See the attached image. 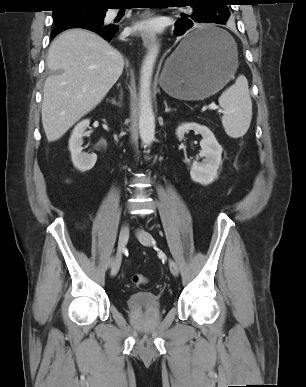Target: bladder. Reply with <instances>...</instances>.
<instances>
[{"mask_svg": "<svg viewBox=\"0 0 306 387\" xmlns=\"http://www.w3.org/2000/svg\"><path fill=\"white\" fill-rule=\"evenodd\" d=\"M126 306L133 312H158L161 302L158 296L151 292L138 291L127 297Z\"/></svg>", "mask_w": 306, "mask_h": 387, "instance_id": "1", "label": "bladder"}]
</instances>
